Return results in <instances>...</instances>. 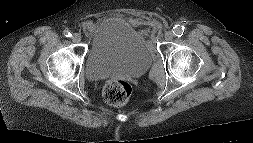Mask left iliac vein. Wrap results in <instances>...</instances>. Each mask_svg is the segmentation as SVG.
<instances>
[{"label":"left iliac vein","mask_w":253,"mask_h":143,"mask_svg":"<svg viewBox=\"0 0 253 143\" xmlns=\"http://www.w3.org/2000/svg\"><path fill=\"white\" fill-rule=\"evenodd\" d=\"M166 41H172L174 38V34L172 31H167L164 35Z\"/></svg>","instance_id":"1"}]
</instances>
